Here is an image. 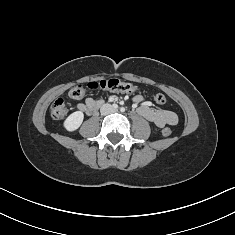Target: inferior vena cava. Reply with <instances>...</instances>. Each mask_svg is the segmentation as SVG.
I'll use <instances>...</instances> for the list:
<instances>
[{
	"label": "inferior vena cava",
	"mask_w": 235,
	"mask_h": 235,
	"mask_svg": "<svg viewBox=\"0 0 235 235\" xmlns=\"http://www.w3.org/2000/svg\"><path fill=\"white\" fill-rule=\"evenodd\" d=\"M100 112L102 115H107V114L114 112V109L112 108L110 104H105L101 107Z\"/></svg>",
	"instance_id": "602c4592"
}]
</instances>
